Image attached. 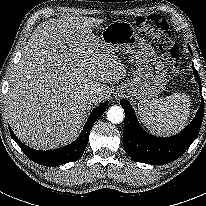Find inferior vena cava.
Listing matches in <instances>:
<instances>
[{"mask_svg":"<svg viewBox=\"0 0 206 206\" xmlns=\"http://www.w3.org/2000/svg\"><path fill=\"white\" fill-rule=\"evenodd\" d=\"M101 99V95L99 93H92L90 94V100L92 102L99 101Z\"/></svg>","mask_w":206,"mask_h":206,"instance_id":"602c4592","label":"inferior vena cava"}]
</instances>
